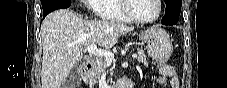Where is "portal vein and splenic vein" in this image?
I'll return each instance as SVG.
<instances>
[{
    "label": "portal vein and splenic vein",
    "instance_id": "portal-vein-and-splenic-vein-1",
    "mask_svg": "<svg viewBox=\"0 0 227 88\" xmlns=\"http://www.w3.org/2000/svg\"><path fill=\"white\" fill-rule=\"evenodd\" d=\"M86 51L92 55H95L97 57H104L105 61L108 64H111L114 60V54L107 50L98 49L96 44H91L86 47ZM132 58H137V54H133Z\"/></svg>",
    "mask_w": 227,
    "mask_h": 88
}]
</instances>
